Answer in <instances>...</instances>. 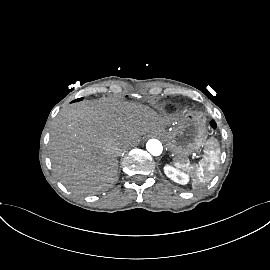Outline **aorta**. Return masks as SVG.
Returning <instances> with one entry per match:
<instances>
[{
	"mask_svg": "<svg viewBox=\"0 0 270 270\" xmlns=\"http://www.w3.org/2000/svg\"><path fill=\"white\" fill-rule=\"evenodd\" d=\"M147 151L153 156H159L162 153L163 146L157 139H150L146 144Z\"/></svg>",
	"mask_w": 270,
	"mask_h": 270,
	"instance_id": "obj_1",
	"label": "aorta"
}]
</instances>
